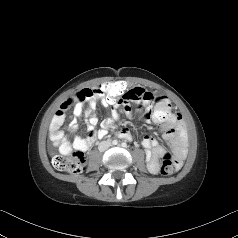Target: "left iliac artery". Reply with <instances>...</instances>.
<instances>
[{
	"mask_svg": "<svg viewBox=\"0 0 238 238\" xmlns=\"http://www.w3.org/2000/svg\"><path fill=\"white\" fill-rule=\"evenodd\" d=\"M121 146H122V147H127V144H126L125 142H123V143L121 144Z\"/></svg>",
	"mask_w": 238,
	"mask_h": 238,
	"instance_id": "obj_1",
	"label": "left iliac artery"
}]
</instances>
